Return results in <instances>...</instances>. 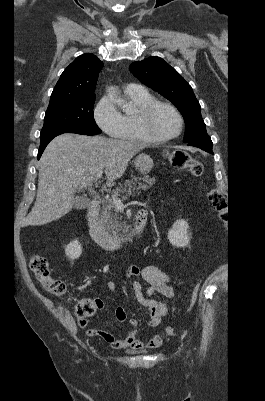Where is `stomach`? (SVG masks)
Masks as SVG:
<instances>
[{
	"instance_id": "obj_1",
	"label": "stomach",
	"mask_w": 265,
	"mask_h": 401,
	"mask_svg": "<svg viewBox=\"0 0 265 401\" xmlns=\"http://www.w3.org/2000/svg\"><path fill=\"white\" fill-rule=\"evenodd\" d=\"M134 164L137 170L142 172V174H147V172H150L151 168L154 166L151 156H149V154H145V152H142V154H138V156H136Z\"/></svg>"
}]
</instances>
